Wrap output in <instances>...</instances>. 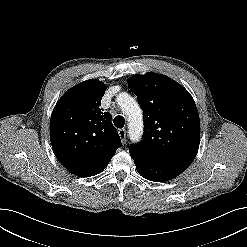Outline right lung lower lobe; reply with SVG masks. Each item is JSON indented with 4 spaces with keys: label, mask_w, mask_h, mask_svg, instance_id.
Listing matches in <instances>:
<instances>
[{
    "label": "right lung lower lobe",
    "mask_w": 247,
    "mask_h": 247,
    "mask_svg": "<svg viewBox=\"0 0 247 247\" xmlns=\"http://www.w3.org/2000/svg\"><path fill=\"white\" fill-rule=\"evenodd\" d=\"M108 163H106V164H104V165H102L100 167L91 169V170H87V171H84V172L76 173L75 175L76 176H79V177H90V176H94V175L102 172L106 168V166L108 165Z\"/></svg>",
    "instance_id": "obj_1"
}]
</instances>
